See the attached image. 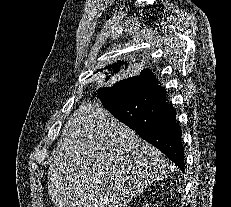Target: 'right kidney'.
<instances>
[{
  "mask_svg": "<svg viewBox=\"0 0 231 207\" xmlns=\"http://www.w3.org/2000/svg\"><path fill=\"white\" fill-rule=\"evenodd\" d=\"M143 207H149V205H148V204H146V206H143Z\"/></svg>",
  "mask_w": 231,
  "mask_h": 207,
  "instance_id": "right-kidney-1",
  "label": "right kidney"
}]
</instances>
